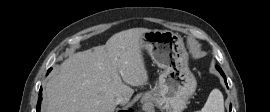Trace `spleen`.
Returning a JSON list of instances; mask_svg holds the SVG:
<instances>
[{
    "instance_id": "obj_1",
    "label": "spleen",
    "mask_w": 270,
    "mask_h": 112,
    "mask_svg": "<svg viewBox=\"0 0 270 112\" xmlns=\"http://www.w3.org/2000/svg\"><path fill=\"white\" fill-rule=\"evenodd\" d=\"M195 112H224V99L221 91L213 89L204 107Z\"/></svg>"
}]
</instances>
